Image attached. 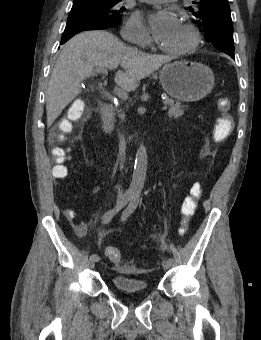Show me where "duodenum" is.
Returning <instances> with one entry per match:
<instances>
[{"label":"duodenum","instance_id":"obj_1","mask_svg":"<svg viewBox=\"0 0 261 340\" xmlns=\"http://www.w3.org/2000/svg\"><path fill=\"white\" fill-rule=\"evenodd\" d=\"M114 115V108L112 104H106L103 109L102 124L106 133L110 132L112 128V119Z\"/></svg>","mask_w":261,"mask_h":340}]
</instances>
